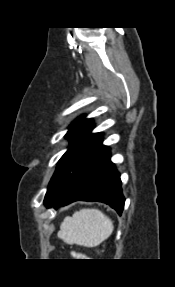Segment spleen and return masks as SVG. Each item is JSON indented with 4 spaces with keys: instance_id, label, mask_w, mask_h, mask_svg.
I'll list each match as a JSON object with an SVG mask.
<instances>
[{
    "instance_id": "spleen-1",
    "label": "spleen",
    "mask_w": 175,
    "mask_h": 287,
    "mask_svg": "<svg viewBox=\"0 0 175 287\" xmlns=\"http://www.w3.org/2000/svg\"><path fill=\"white\" fill-rule=\"evenodd\" d=\"M113 231L109 217L98 209L85 208L65 217L58 237L67 244L94 247L106 240Z\"/></svg>"
}]
</instances>
